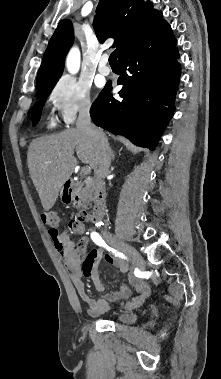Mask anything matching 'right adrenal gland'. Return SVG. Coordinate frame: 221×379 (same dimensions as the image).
I'll return each mask as SVG.
<instances>
[{
  "mask_svg": "<svg viewBox=\"0 0 221 379\" xmlns=\"http://www.w3.org/2000/svg\"><path fill=\"white\" fill-rule=\"evenodd\" d=\"M111 157H112V161H114L115 155H114V152L112 150H111Z\"/></svg>",
  "mask_w": 221,
  "mask_h": 379,
  "instance_id": "right-adrenal-gland-1",
  "label": "right adrenal gland"
}]
</instances>
